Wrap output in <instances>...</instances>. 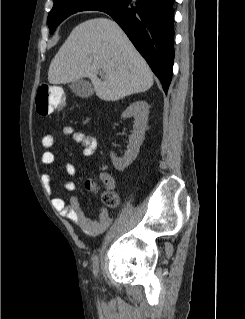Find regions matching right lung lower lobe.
<instances>
[{"label": "right lung lower lobe", "mask_w": 245, "mask_h": 319, "mask_svg": "<svg viewBox=\"0 0 245 319\" xmlns=\"http://www.w3.org/2000/svg\"><path fill=\"white\" fill-rule=\"evenodd\" d=\"M174 0H123L106 10L145 58L167 93L174 60Z\"/></svg>", "instance_id": "obj_1"}]
</instances>
